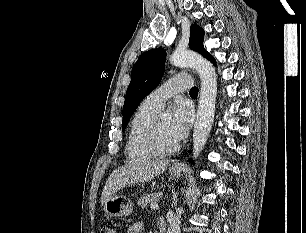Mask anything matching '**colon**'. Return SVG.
Wrapping results in <instances>:
<instances>
[{"label":"colon","instance_id":"colon-1","mask_svg":"<svg viewBox=\"0 0 306 233\" xmlns=\"http://www.w3.org/2000/svg\"><path fill=\"white\" fill-rule=\"evenodd\" d=\"M100 233H116V230L112 224L105 223L101 226Z\"/></svg>","mask_w":306,"mask_h":233}]
</instances>
